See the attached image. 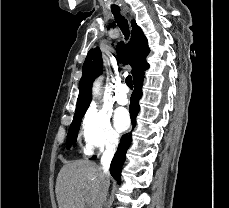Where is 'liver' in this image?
<instances>
[{
  "label": "liver",
  "instance_id": "obj_1",
  "mask_svg": "<svg viewBox=\"0 0 229 208\" xmlns=\"http://www.w3.org/2000/svg\"><path fill=\"white\" fill-rule=\"evenodd\" d=\"M101 168L90 160H74L61 168L56 182V198L59 208H101Z\"/></svg>",
  "mask_w": 229,
  "mask_h": 208
}]
</instances>
